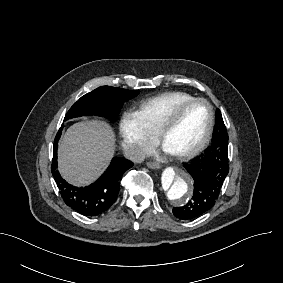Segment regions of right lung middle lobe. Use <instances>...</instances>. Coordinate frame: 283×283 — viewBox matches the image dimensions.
I'll use <instances>...</instances> for the list:
<instances>
[{
  "label": "right lung middle lobe",
  "instance_id": "right-lung-middle-lobe-1",
  "mask_svg": "<svg viewBox=\"0 0 283 283\" xmlns=\"http://www.w3.org/2000/svg\"><path fill=\"white\" fill-rule=\"evenodd\" d=\"M139 94V90L101 86L82 96L67 112L64 121L85 115L104 116L116 120L123 103Z\"/></svg>",
  "mask_w": 283,
  "mask_h": 283
}]
</instances>
